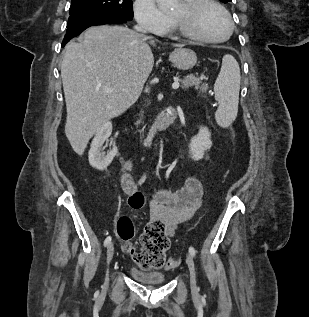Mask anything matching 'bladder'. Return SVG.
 <instances>
[{
  "instance_id": "31cf9c89",
  "label": "bladder",
  "mask_w": 309,
  "mask_h": 317,
  "mask_svg": "<svg viewBox=\"0 0 309 317\" xmlns=\"http://www.w3.org/2000/svg\"><path fill=\"white\" fill-rule=\"evenodd\" d=\"M131 277L142 284H162L165 281V275L160 271H145L136 267L129 269Z\"/></svg>"
}]
</instances>
